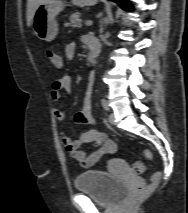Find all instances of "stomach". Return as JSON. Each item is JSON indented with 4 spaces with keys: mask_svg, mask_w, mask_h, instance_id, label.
<instances>
[{
    "mask_svg": "<svg viewBox=\"0 0 188 213\" xmlns=\"http://www.w3.org/2000/svg\"><path fill=\"white\" fill-rule=\"evenodd\" d=\"M78 6L94 5L97 0H72ZM65 2L62 0H44L33 15L32 26L34 34L41 40L51 41L58 34L56 16L63 11Z\"/></svg>",
    "mask_w": 188,
    "mask_h": 213,
    "instance_id": "obj_1",
    "label": "stomach"
}]
</instances>
